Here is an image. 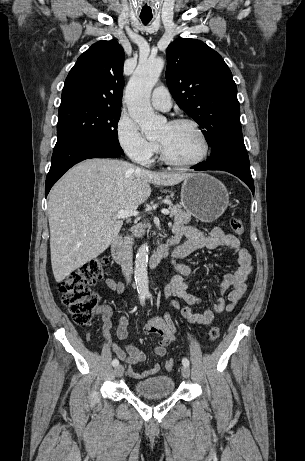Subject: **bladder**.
<instances>
[{
  "label": "bladder",
  "mask_w": 305,
  "mask_h": 461,
  "mask_svg": "<svg viewBox=\"0 0 305 461\" xmlns=\"http://www.w3.org/2000/svg\"><path fill=\"white\" fill-rule=\"evenodd\" d=\"M136 394L144 397H165L175 390L173 378L167 375H155L133 385Z\"/></svg>",
  "instance_id": "1"
}]
</instances>
